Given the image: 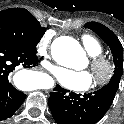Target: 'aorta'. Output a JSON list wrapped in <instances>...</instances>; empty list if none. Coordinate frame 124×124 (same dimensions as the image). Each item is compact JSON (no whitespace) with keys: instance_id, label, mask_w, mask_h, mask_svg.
Segmentation results:
<instances>
[{"instance_id":"aorta-1","label":"aorta","mask_w":124,"mask_h":124,"mask_svg":"<svg viewBox=\"0 0 124 124\" xmlns=\"http://www.w3.org/2000/svg\"><path fill=\"white\" fill-rule=\"evenodd\" d=\"M53 57L62 64H73L84 58L85 53L77 40L69 36L59 37L52 46ZM52 80H48L45 88L53 87Z\"/></svg>"}]
</instances>
